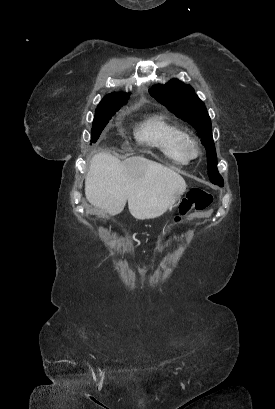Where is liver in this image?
<instances>
[{"instance_id": "obj_1", "label": "liver", "mask_w": 275, "mask_h": 409, "mask_svg": "<svg viewBox=\"0 0 275 409\" xmlns=\"http://www.w3.org/2000/svg\"><path fill=\"white\" fill-rule=\"evenodd\" d=\"M186 186L178 172L144 156L120 160L108 152H97L90 160L85 194L104 217L121 213L128 200L131 215L143 221L163 215Z\"/></svg>"}]
</instances>
